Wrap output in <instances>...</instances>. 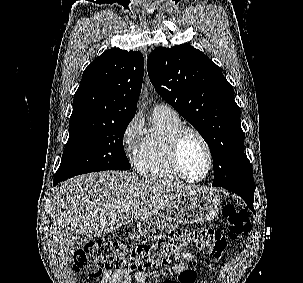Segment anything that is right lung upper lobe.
I'll return each instance as SVG.
<instances>
[{
    "label": "right lung upper lobe",
    "mask_w": 303,
    "mask_h": 283,
    "mask_svg": "<svg viewBox=\"0 0 303 283\" xmlns=\"http://www.w3.org/2000/svg\"><path fill=\"white\" fill-rule=\"evenodd\" d=\"M140 52L110 49L83 72L70 120L117 123L132 120L143 81Z\"/></svg>",
    "instance_id": "obj_1"
}]
</instances>
